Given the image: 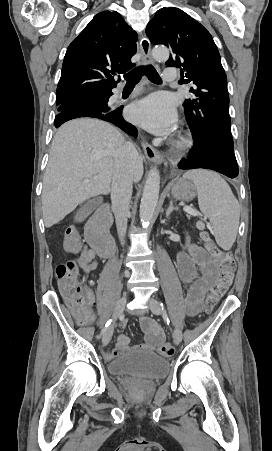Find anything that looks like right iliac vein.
I'll use <instances>...</instances> for the list:
<instances>
[{
    "label": "right iliac vein",
    "mask_w": 272,
    "mask_h": 451,
    "mask_svg": "<svg viewBox=\"0 0 272 451\" xmlns=\"http://www.w3.org/2000/svg\"><path fill=\"white\" fill-rule=\"evenodd\" d=\"M127 294H124L116 303L115 307H114V311H113V318L114 320H116L123 312L125 305L127 303ZM113 327L114 325H111L103 334L102 337V342L104 345H107L111 338H112V334H113Z\"/></svg>",
    "instance_id": "1"
}]
</instances>
